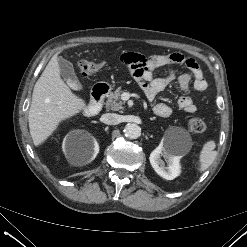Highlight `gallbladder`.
Segmentation results:
<instances>
[{
  "label": "gallbladder",
  "mask_w": 247,
  "mask_h": 247,
  "mask_svg": "<svg viewBox=\"0 0 247 247\" xmlns=\"http://www.w3.org/2000/svg\"><path fill=\"white\" fill-rule=\"evenodd\" d=\"M57 62L60 68V74L62 78L71 88L77 90L80 86V83L75 74L73 64L61 56L57 58Z\"/></svg>",
  "instance_id": "bac80fb5"
}]
</instances>
